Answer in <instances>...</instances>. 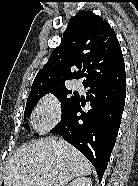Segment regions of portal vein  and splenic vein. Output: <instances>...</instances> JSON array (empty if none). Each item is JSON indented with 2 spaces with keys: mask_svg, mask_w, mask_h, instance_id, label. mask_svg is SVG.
I'll use <instances>...</instances> for the list:
<instances>
[{
  "mask_svg": "<svg viewBox=\"0 0 138 186\" xmlns=\"http://www.w3.org/2000/svg\"><path fill=\"white\" fill-rule=\"evenodd\" d=\"M34 179H35L36 183L38 184V186H46L44 181H41V180H39L37 178H34Z\"/></svg>",
  "mask_w": 138,
  "mask_h": 186,
  "instance_id": "obj_1",
  "label": "portal vein and splenic vein"
}]
</instances>
